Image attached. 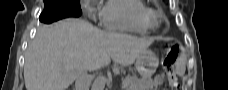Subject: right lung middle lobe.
<instances>
[{"mask_svg":"<svg viewBox=\"0 0 228 90\" xmlns=\"http://www.w3.org/2000/svg\"><path fill=\"white\" fill-rule=\"evenodd\" d=\"M46 7L54 6L58 12L67 17H79L81 15L80 0H44Z\"/></svg>","mask_w":228,"mask_h":90,"instance_id":"dd1d6c3e","label":"right lung middle lobe"}]
</instances>
